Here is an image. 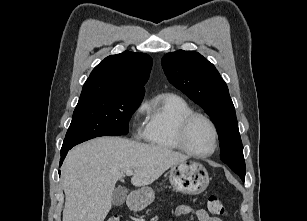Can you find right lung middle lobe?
<instances>
[{"mask_svg": "<svg viewBox=\"0 0 307 221\" xmlns=\"http://www.w3.org/2000/svg\"><path fill=\"white\" fill-rule=\"evenodd\" d=\"M143 97L109 95L78 102L61 151L99 136L126 135L131 115Z\"/></svg>", "mask_w": 307, "mask_h": 221, "instance_id": "dd1d6c3e", "label": "right lung middle lobe"}]
</instances>
